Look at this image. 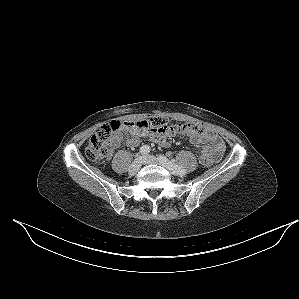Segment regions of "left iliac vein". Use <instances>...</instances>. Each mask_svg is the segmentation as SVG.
Returning <instances> with one entry per match:
<instances>
[{
  "label": "left iliac vein",
  "instance_id": "4c4485c4",
  "mask_svg": "<svg viewBox=\"0 0 299 299\" xmlns=\"http://www.w3.org/2000/svg\"><path fill=\"white\" fill-rule=\"evenodd\" d=\"M142 161L145 164H158V165H161V166L165 167L166 169H168L172 174H175L164 162H162L161 160H159L158 158H156L153 155L143 156Z\"/></svg>",
  "mask_w": 299,
  "mask_h": 299
}]
</instances>
